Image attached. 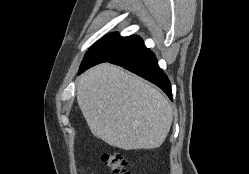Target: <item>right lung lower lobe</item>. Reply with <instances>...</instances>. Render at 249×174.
<instances>
[{
	"instance_id": "1",
	"label": "right lung lower lobe",
	"mask_w": 249,
	"mask_h": 174,
	"mask_svg": "<svg viewBox=\"0 0 249 174\" xmlns=\"http://www.w3.org/2000/svg\"><path fill=\"white\" fill-rule=\"evenodd\" d=\"M102 62H110L122 66L125 69L143 77L144 79L160 87L168 95V97L172 99L170 81L158 66L154 53L146 48L145 45L126 52L117 58L107 61H99L87 67L80 68L79 74Z\"/></svg>"
}]
</instances>
